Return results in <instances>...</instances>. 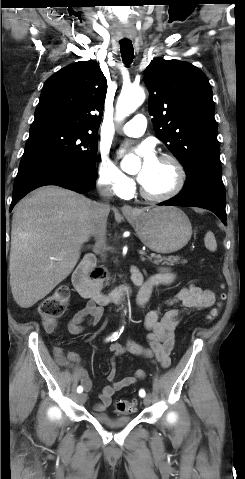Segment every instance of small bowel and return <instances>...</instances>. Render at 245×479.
Wrapping results in <instances>:
<instances>
[{
	"instance_id": "small-bowel-1",
	"label": "small bowel",
	"mask_w": 245,
	"mask_h": 479,
	"mask_svg": "<svg viewBox=\"0 0 245 479\" xmlns=\"http://www.w3.org/2000/svg\"><path fill=\"white\" fill-rule=\"evenodd\" d=\"M174 280V274L168 270H160L150 276L143 284L137 298L138 307L145 308L150 294L154 288L170 284ZM215 300L214 293L195 284L181 288L172 298L166 300L165 305L171 307L164 313L159 309H153L146 313L144 325L148 330V346L143 347L133 341L125 344L112 343L109 346L113 354L111 359V370L108 374L109 385L103 387L99 401L94 404L96 413H103L112 403V397L115 392L132 385L145 378V372L137 369L132 375L122 379H116L115 358L124 355L126 352L156 361L162 368H168L171 365L170 354L174 348V336L179 326L182 315L189 310L205 309L213 304ZM176 304L181 305V309L174 308ZM102 317V309L94 302L88 301L87 304L72 315L67 322V330L72 335L81 334L86 326H95ZM54 358L58 365L74 370L77 380L86 391L92 387V381L87 371L80 366L79 355L75 352H69L66 356L61 348L54 349Z\"/></svg>"
}]
</instances>
